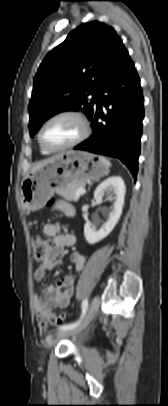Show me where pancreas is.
Here are the masks:
<instances>
[{"label": "pancreas", "instance_id": "obj_1", "mask_svg": "<svg viewBox=\"0 0 168 406\" xmlns=\"http://www.w3.org/2000/svg\"><path fill=\"white\" fill-rule=\"evenodd\" d=\"M83 187L84 184H72L65 188L57 190V193L67 201H75L78 199L76 198L77 190Z\"/></svg>", "mask_w": 168, "mask_h": 406}]
</instances>
